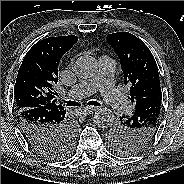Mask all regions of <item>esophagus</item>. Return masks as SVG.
Instances as JSON below:
<instances>
[{"label":"esophagus","mask_w":184,"mask_h":184,"mask_svg":"<svg viewBox=\"0 0 184 184\" xmlns=\"http://www.w3.org/2000/svg\"><path fill=\"white\" fill-rule=\"evenodd\" d=\"M96 110H97V107H93V106L85 107V108L80 109V114L89 115L95 112Z\"/></svg>","instance_id":"1"}]
</instances>
